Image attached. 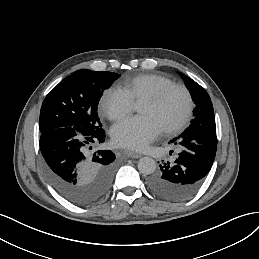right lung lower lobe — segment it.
<instances>
[{"mask_svg":"<svg viewBox=\"0 0 259 259\" xmlns=\"http://www.w3.org/2000/svg\"><path fill=\"white\" fill-rule=\"evenodd\" d=\"M104 141L103 129L85 135L73 127H62L41 134L45 173L67 201L89 206L109 191L116 169L115 154L111 150H88Z\"/></svg>","mask_w":259,"mask_h":259,"instance_id":"right-lung-lower-lobe-1","label":"right lung lower lobe"}]
</instances>
